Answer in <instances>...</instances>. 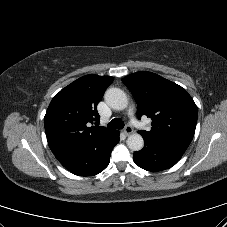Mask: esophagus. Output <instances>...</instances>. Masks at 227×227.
<instances>
[{
    "mask_svg": "<svg viewBox=\"0 0 227 227\" xmlns=\"http://www.w3.org/2000/svg\"><path fill=\"white\" fill-rule=\"evenodd\" d=\"M123 131L128 136L133 133V128L131 126L127 125Z\"/></svg>",
    "mask_w": 227,
    "mask_h": 227,
    "instance_id": "esophagus-1",
    "label": "esophagus"
}]
</instances>
